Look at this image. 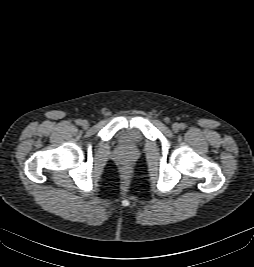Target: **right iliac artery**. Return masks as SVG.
I'll return each mask as SVG.
<instances>
[{"mask_svg": "<svg viewBox=\"0 0 254 267\" xmlns=\"http://www.w3.org/2000/svg\"><path fill=\"white\" fill-rule=\"evenodd\" d=\"M76 124H77V125H81V124H82V120H81V119H77V120H76Z\"/></svg>", "mask_w": 254, "mask_h": 267, "instance_id": "1", "label": "right iliac artery"}]
</instances>
